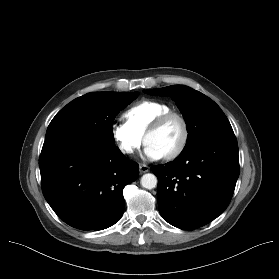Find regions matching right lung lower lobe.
<instances>
[{
  "label": "right lung lower lobe",
  "mask_w": 279,
  "mask_h": 279,
  "mask_svg": "<svg viewBox=\"0 0 279 279\" xmlns=\"http://www.w3.org/2000/svg\"><path fill=\"white\" fill-rule=\"evenodd\" d=\"M45 199L68 225L102 230L124 212V187L138 178L139 166L117 146L81 135L45 140L39 158Z\"/></svg>",
  "instance_id": "right-lung-lower-lobe-1"
}]
</instances>
